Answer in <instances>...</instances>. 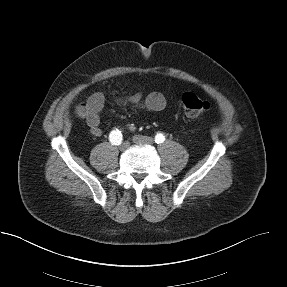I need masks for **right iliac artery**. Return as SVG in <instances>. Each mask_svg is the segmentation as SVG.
<instances>
[{"instance_id": "obj_1", "label": "right iliac artery", "mask_w": 287, "mask_h": 287, "mask_svg": "<svg viewBox=\"0 0 287 287\" xmlns=\"http://www.w3.org/2000/svg\"><path fill=\"white\" fill-rule=\"evenodd\" d=\"M109 140L113 145L121 144L123 140L121 131H119L118 129L111 131L109 135Z\"/></svg>"}]
</instances>
